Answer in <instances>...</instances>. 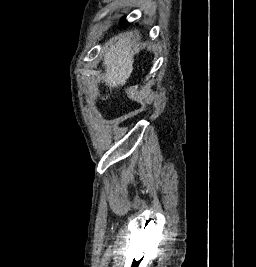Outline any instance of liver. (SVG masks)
<instances>
[{
    "mask_svg": "<svg viewBox=\"0 0 256 267\" xmlns=\"http://www.w3.org/2000/svg\"><path fill=\"white\" fill-rule=\"evenodd\" d=\"M103 64L105 66V86H108L109 90L117 88V86H125L133 72L134 64L130 36L124 40L120 38L114 46H110L104 56Z\"/></svg>",
    "mask_w": 256,
    "mask_h": 267,
    "instance_id": "liver-1",
    "label": "liver"
}]
</instances>
